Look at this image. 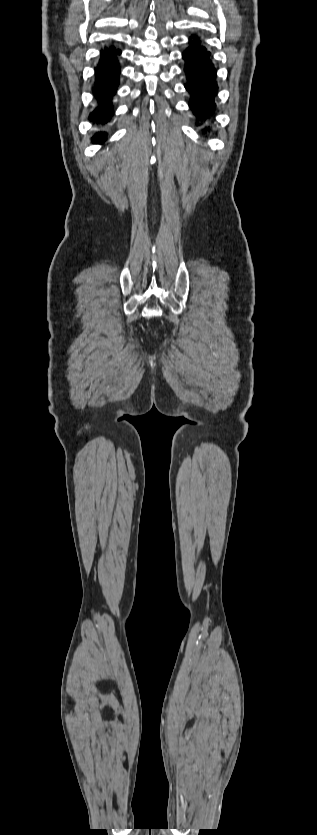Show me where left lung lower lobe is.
<instances>
[{"label": "left lung lower lobe", "mask_w": 317, "mask_h": 835, "mask_svg": "<svg viewBox=\"0 0 317 835\" xmlns=\"http://www.w3.org/2000/svg\"><path fill=\"white\" fill-rule=\"evenodd\" d=\"M190 40V47L182 54L186 61L184 70L188 81L185 88L192 96L189 106L199 121L207 119L209 114L214 112V94L218 86L216 69L210 59L211 53L199 42L198 37L191 36Z\"/></svg>", "instance_id": "obj_1"}]
</instances>
